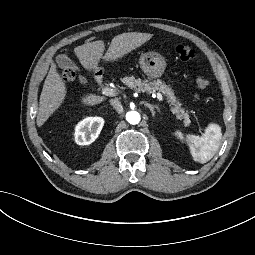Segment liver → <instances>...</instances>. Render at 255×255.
Returning <instances> with one entry per match:
<instances>
[{
  "label": "liver",
  "mask_w": 255,
  "mask_h": 255,
  "mask_svg": "<svg viewBox=\"0 0 255 255\" xmlns=\"http://www.w3.org/2000/svg\"><path fill=\"white\" fill-rule=\"evenodd\" d=\"M153 34L128 32L115 36L110 47L104 55L105 43L97 40L77 46L73 49L82 67L94 75L102 73L100 62L114 64L129 55L135 49L147 43ZM98 75L97 77H100ZM68 95V88L63 77L58 73L55 64L52 65L45 79L39 99V111L37 113L36 125L40 128L45 122L62 106ZM107 98L95 93L80 95L78 100L83 107H94Z\"/></svg>",
  "instance_id": "1"
}]
</instances>
